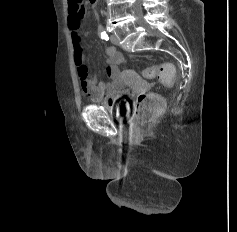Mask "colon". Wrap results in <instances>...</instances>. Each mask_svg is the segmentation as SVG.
<instances>
[{
    "label": "colon",
    "instance_id": "obj_1",
    "mask_svg": "<svg viewBox=\"0 0 237 232\" xmlns=\"http://www.w3.org/2000/svg\"><path fill=\"white\" fill-rule=\"evenodd\" d=\"M70 13L77 17L84 16L85 7L82 0H68ZM146 78L157 77L164 85H171L176 71L172 64L158 63L142 70ZM163 109L162 99L155 94H144L138 98L137 118L142 125L151 124Z\"/></svg>",
    "mask_w": 237,
    "mask_h": 232
}]
</instances>
